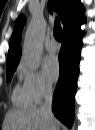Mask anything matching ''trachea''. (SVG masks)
Listing matches in <instances>:
<instances>
[{
  "label": "trachea",
  "mask_w": 95,
  "mask_h": 130,
  "mask_svg": "<svg viewBox=\"0 0 95 130\" xmlns=\"http://www.w3.org/2000/svg\"><path fill=\"white\" fill-rule=\"evenodd\" d=\"M53 33L55 39L60 42L62 39V28L58 19L55 20Z\"/></svg>",
  "instance_id": "1"
}]
</instances>
